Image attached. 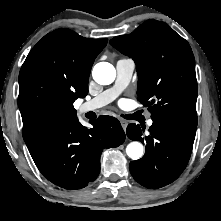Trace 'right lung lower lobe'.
Listing matches in <instances>:
<instances>
[{"label": "right lung lower lobe", "mask_w": 221, "mask_h": 221, "mask_svg": "<svg viewBox=\"0 0 221 221\" xmlns=\"http://www.w3.org/2000/svg\"><path fill=\"white\" fill-rule=\"evenodd\" d=\"M90 123L88 129L77 116L54 118L24 139L37 168L53 184L70 190L85 187L100 172L103 149L124 142L116 118L100 116Z\"/></svg>", "instance_id": "1"}]
</instances>
